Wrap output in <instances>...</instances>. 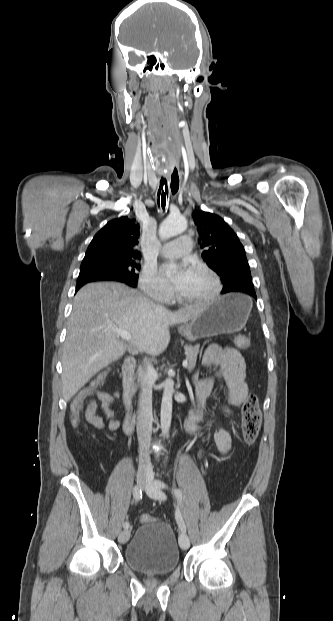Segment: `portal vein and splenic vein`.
I'll return each instance as SVG.
<instances>
[{
    "label": "portal vein and splenic vein",
    "instance_id": "1",
    "mask_svg": "<svg viewBox=\"0 0 333 621\" xmlns=\"http://www.w3.org/2000/svg\"><path fill=\"white\" fill-rule=\"evenodd\" d=\"M113 330L116 331V333L124 340H131L132 339L131 334L128 331H126V330H122V329H119V328H113ZM182 365H183V367H187L188 360L185 359L183 361Z\"/></svg>",
    "mask_w": 333,
    "mask_h": 621
}]
</instances>
